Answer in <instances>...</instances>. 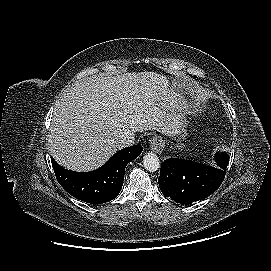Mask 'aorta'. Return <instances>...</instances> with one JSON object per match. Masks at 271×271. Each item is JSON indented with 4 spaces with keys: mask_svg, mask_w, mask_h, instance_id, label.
<instances>
[{
    "mask_svg": "<svg viewBox=\"0 0 271 271\" xmlns=\"http://www.w3.org/2000/svg\"><path fill=\"white\" fill-rule=\"evenodd\" d=\"M143 166L150 172L157 171L160 167V161L156 154L149 152L143 157Z\"/></svg>",
    "mask_w": 271,
    "mask_h": 271,
    "instance_id": "aorta-1",
    "label": "aorta"
}]
</instances>
